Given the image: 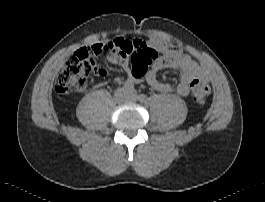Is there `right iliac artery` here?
Wrapping results in <instances>:
<instances>
[{"instance_id": "right-iliac-artery-1", "label": "right iliac artery", "mask_w": 265, "mask_h": 202, "mask_svg": "<svg viewBox=\"0 0 265 202\" xmlns=\"http://www.w3.org/2000/svg\"><path fill=\"white\" fill-rule=\"evenodd\" d=\"M123 89L126 91V92H129V93H134L135 90H134V85L132 82L130 81H126L123 85Z\"/></svg>"}]
</instances>
